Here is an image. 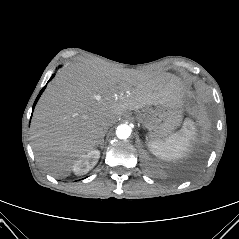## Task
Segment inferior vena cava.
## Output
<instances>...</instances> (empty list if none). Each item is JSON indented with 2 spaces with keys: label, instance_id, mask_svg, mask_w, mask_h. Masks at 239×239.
Returning <instances> with one entry per match:
<instances>
[{
  "label": "inferior vena cava",
  "instance_id": "obj_1",
  "mask_svg": "<svg viewBox=\"0 0 239 239\" xmlns=\"http://www.w3.org/2000/svg\"><path fill=\"white\" fill-rule=\"evenodd\" d=\"M115 122H116V119H114V118H110V119L105 120L103 122L104 129H107L108 127L112 126Z\"/></svg>",
  "mask_w": 239,
  "mask_h": 239
}]
</instances>
